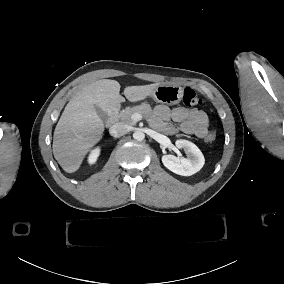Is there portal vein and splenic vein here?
<instances>
[{"instance_id":"18ae733b","label":"portal vein and splenic vein","mask_w":284,"mask_h":284,"mask_svg":"<svg viewBox=\"0 0 284 284\" xmlns=\"http://www.w3.org/2000/svg\"><path fill=\"white\" fill-rule=\"evenodd\" d=\"M142 117L143 116L141 114L134 113V114H132L131 119L136 123V122L142 120Z\"/></svg>"}]
</instances>
